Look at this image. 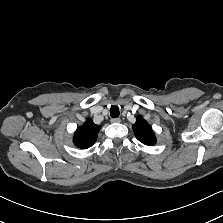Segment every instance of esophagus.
<instances>
[{
    "label": "esophagus",
    "instance_id": "1",
    "mask_svg": "<svg viewBox=\"0 0 223 223\" xmlns=\"http://www.w3.org/2000/svg\"><path fill=\"white\" fill-rule=\"evenodd\" d=\"M110 121H111V123H120L121 119L120 118H112Z\"/></svg>",
    "mask_w": 223,
    "mask_h": 223
}]
</instances>
